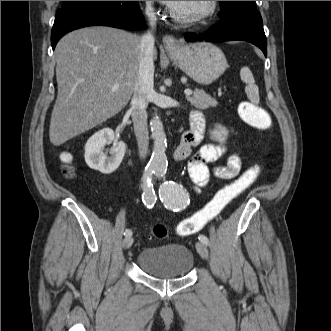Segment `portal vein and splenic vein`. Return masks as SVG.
<instances>
[{"label":"portal vein and splenic vein","instance_id":"18ae733b","mask_svg":"<svg viewBox=\"0 0 331 331\" xmlns=\"http://www.w3.org/2000/svg\"><path fill=\"white\" fill-rule=\"evenodd\" d=\"M112 88H113V90H117L119 88V85L118 84H114ZM184 93H185L186 96H190V95L193 94V91L191 89H186L184 91Z\"/></svg>","mask_w":331,"mask_h":331}]
</instances>
